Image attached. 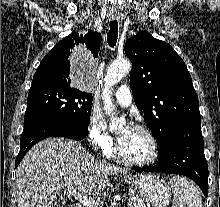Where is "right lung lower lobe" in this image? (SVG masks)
Masks as SVG:
<instances>
[{
	"instance_id": "1",
	"label": "right lung lower lobe",
	"mask_w": 220,
	"mask_h": 207,
	"mask_svg": "<svg viewBox=\"0 0 220 207\" xmlns=\"http://www.w3.org/2000/svg\"><path fill=\"white\" fill-rule=\"evenodd\" d=\"M88 133V125L46 117H31L24 121L20 140V151L16 158V167L27 151L38 141L48 137H66L81 140Z\"/></svg>"
}]
</instances>
